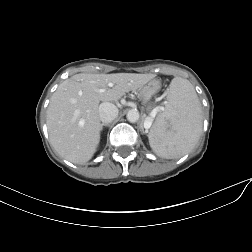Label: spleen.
I'll use <instances>...</instances> for the list:
<instances>
[{"mask_svg": "<svg viewBox=\"0 0 252 252\" xmlns=\"http://www.w3.org/2000/svg\"><path fill=\"white\" fill-rule=\"evenodd\" d=\"M202 125L201 104L193 85L175 77L168 89L165 109L150 129L149 144L159 157L179 158L196 145Z\"/></svg>", "mask_w": 252, "mask_h": 252, "instance_id": "obj_1", "label": "spleen"}]
</instances>
